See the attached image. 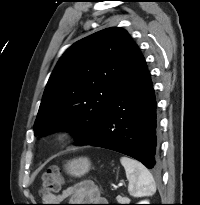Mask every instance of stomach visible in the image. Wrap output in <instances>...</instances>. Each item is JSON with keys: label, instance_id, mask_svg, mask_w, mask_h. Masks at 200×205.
Masks as SVG:
<instances>
[{"label": "stomach", "instance_id": "stomach-1", "mask_svg": "<svg viewBox=\"0 0 200 205\" xmlns=\"http://www.w3.org/2000/svg\"><path fill=\"white\" fill-rule=\"evenodd\" d=\"M90 161L86 157H80L67 162L65 169L68 174L80 177L90 170Z\"/></svg>", "mask_w": 200, "mask_h": 205}]
</instances>
